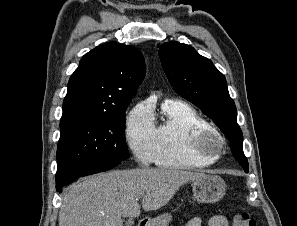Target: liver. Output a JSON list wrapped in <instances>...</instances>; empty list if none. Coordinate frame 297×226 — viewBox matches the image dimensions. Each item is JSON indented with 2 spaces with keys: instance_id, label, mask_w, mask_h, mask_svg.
<instances>
[{
  "instance_id": "1",
  "label": "liver",
  "mask_w": 297,
  "mask_h": 226,
  "mask_svg": "<svg viewBox=\"0 0 297 226\" xmlns=\"http://www.w3.org/2000/svg\"><path fill=\"white\" fill-rule=\"evenodd\" d=\"M202 172L178 169L115 170L85 178L65 191L58 226H123L122 217L166 205L180 186L203 178Z\"/></svg>"
}]
</instances>
